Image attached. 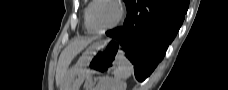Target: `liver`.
Here are the masks:
<instances>
[{
    "instance_id": "obj_1",
    "label": "liver",
    "mask_w": 228,
    "mask_h": 90,
    "mask_svg": "<svg viewBox=\"0 0 228 90\" xmlns=\"http://www.w3.org/2000/svg\"><path fill=\"white\" fill-rule=\"evenodd\" d=\"M94 40L95 38H75L60 54L56 69V84L60 86L61 90H63L68 67L72 60Z\"/></svg>"
}]
</instances>
